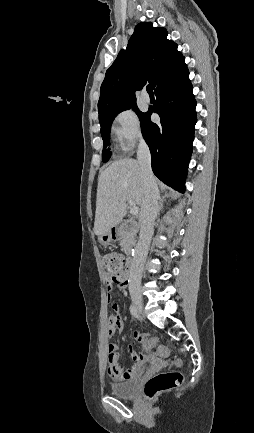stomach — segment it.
Instances as JSON below:
<instances>
[{"mask_svg":"<svg viewBox=\"0 0 254 433\" xmlns=\"http://www.w3.org/2000/svg\"><path fill=\"white\" fill-rule=\"evenodd\" d=\"M113 238H114L113 234L109 231L108 233L101 235L99 237V241L101 244L107 245L113 240Z\"/></svg>","mask_w":254,"mask_h":433,"instance_id":"obj_1","label":"stomach"}]
</instances>
